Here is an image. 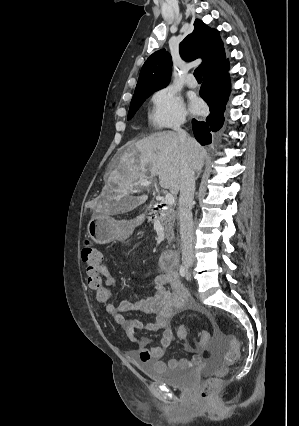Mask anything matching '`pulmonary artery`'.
Listing matches in <instances>:
<instances>
[{"instance_id":"pulmonary-artery-1","label":"pulmonary artery","mask_w":299,"mask_h":426,"mask_svg":"<svg viewBox=\"0 0 299 426\" xmlns=\"http://www.w3.org/2000/svg\"><path fill=\"white\" fill-rule=\"evenodd\" d=\"M186 83L191 88H195L197 86V81L195 80V78L193 77V75H189L187 77Z\"/></svg>"}]
</instances>
